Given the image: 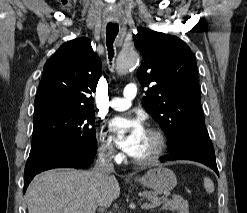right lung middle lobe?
<instances>
[{
	"mask_svg": "<svg viewBox=\"0 0 247 213\" xmlns=\"http://www.w3.org/2000/svg\"><path fill=\"white\" fill-rule=\"evenodd\" d=\"M33 120L30 153L62 139H71L80 149L97 147L93 109L50 107L34 112Z\"/></svg>",
	"mask_w": 247,
	"mask_h": 213,
	"instance_id": "obj_1",
	"label": "right lung middle lobe"
}]
</instances>
